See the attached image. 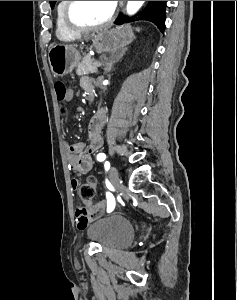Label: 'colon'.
Here are the masks:
<instances>
[{
	"label": "colon",
	"mask_w": 237,
	"mask_h": 300,
	"mask_svg": "<svg viewBox=\"0 0 237 300\" xmlns=\"http://www.w3.org/2000/svg\"><path fill=\"white\" fill-rule=\"evenodd\" d=\"M55 92L57 98L61 102H71L72 99L68 98V89L65 84L61 81L55 83ZM65 113V109L62 110ZM96 190V179L89 177L86 182L79 185L78 193L81 201L86 205L88 210H92V200L95 196Z\"/></svg>",
	"instance_id": "1"
}]
</instances>
